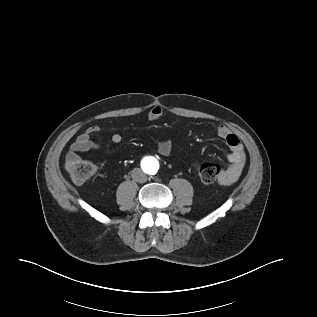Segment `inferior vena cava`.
Returning a JSON list of instances; mask_svg holds the SVG:
<instances>
[{"mask_svg": "<svg viewBox=\"0 0 317 317\" xmlns=\"http://www.w3.org/2000/svg\"><path fill=\"white\" fill-rule=\"evenodd\" d=\"M131 177L138 183H144L147 181V175L140 168H134L131 172Z\"/></svg>", "mask_w": 317, "mask_h": 317, "instance_id": "1", "label": "inferior vena cava"}]
</instances>
